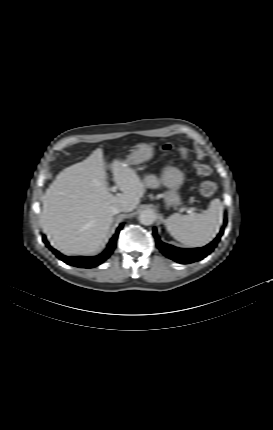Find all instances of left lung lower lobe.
I'll use <instances>...</instances> for the list:
<instances>
[{
  "instance_id": "obj_1",
  "label": "left lung lower lobe",
  "mask_w": 273,
  "mask_h": 430,
  "mask_svg": "<svg viewBox=\"0 0 273 430\" xmlns=\"http://www.w3.org/2000/svg\"><path fill=\"white\" fill-rule=\"evenodd\" d=\"M226 223H227V220L225 219L224 225H226ZM223 232L224 230L221 229L218 236L210 244L201 248H193V249L178 248V247H174L172 245L163 243L157 235L156 228L153 229V236L155 237L157 247L166 257L178 263L189 264L195 261H199L204 257H206L207 255H209L217 246V243L219 242Z\"/></svg>"
}]
</instances>
